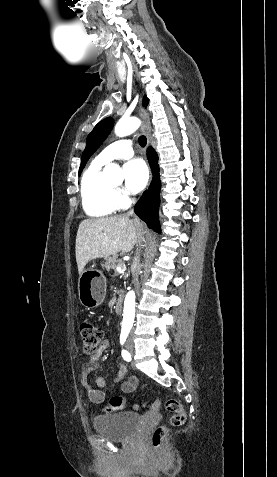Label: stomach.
I'll list each match as a JSON object with an SVG mask.
<instances>
[{
    "label": "stomach",
    "mask_w": 277,
    "mask_h": 477,
    "mask_svg": "<svg viewBox=\"0 0 277 477\" xmlns=\"http://www.w3.org/2000/svg\"><path fill=\"white\" fill-rule=\"evenodd\" d=\"M106 296V279L103 274L92 268L84 269L78 279V297L86 308H95L102 304Z\"/></svg>",
    "instance_id": "stomach-1"
}]
</instances>
